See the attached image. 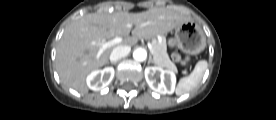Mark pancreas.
<instances>
[{
  "instance_id": "cf45deb5",
  "label": "pancreas",
  "mask_w": 276,
  "mask_h": 120,
  "mask_svg": "<svg viewBox=\"0 0 276 120\" xmlns=\"http://www.w3.org/2000/svg\"><path fill=\"white\" fill-rule=\"evenodd\" d=\"M153 47V58L155 63L160 66L169 69L172 72H177V68L175 64L170 60L167 54V46L165 42L159 43L158 41L154 40L152 42Z\"/></svg>"
}]
</instances>
